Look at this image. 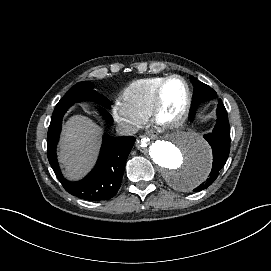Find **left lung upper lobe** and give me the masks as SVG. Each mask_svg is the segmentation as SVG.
Masks as SVG:
<instances>
[{"label":"left lung upper lobe","instance_id":"obj_1","mask_svg":"<svg viewBox=\"0 0 271 271\" xmlns=\"http://www.w3.org/2000/svg\"><path fill=\"white\" fill-rule=\"evenodd\" d=\"M190 80L194 86L192 111L196 110L201 102L216 98L217 94L211 87L198 81L193 76H190Z\"/></svg>","mask_w":271,"mask_h":271}]
</instances>
